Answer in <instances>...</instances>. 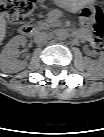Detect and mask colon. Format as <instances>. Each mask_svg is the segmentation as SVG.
Returning a JSON list of instances; mask_svg holds the SVG:
<instances>
[{
  "instance_id": "5ec220e1",
  "label": "colon",
  "mask_w": 104,
  "mask_h": 137,
  "mask_svg": "<svg viewBox=\"0 0 104 137\" xmlns=\"http://www.w3.org/2000/svg\"><path fill=\"white\" fill-rule=\"evenodd\" d=\"M35 9V0H2L1 11L12 22H26ZM82 19L92 24L91 42L95 47H102L104 42V14L96 6L83 9Z\"/></svg>"
}]
</instances>
